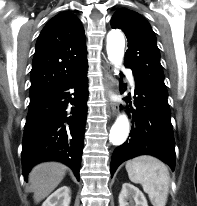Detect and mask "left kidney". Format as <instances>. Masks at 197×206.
<instances>
[{"label": "left kidney", "mask_w": 197, "mask_h": 206, "mask_svg": "<svg viewBox=\"0 0 197 206\" xmlns=\"http://www.w3.org/2000/svg\"><path fill=\"white\" fill-rule=\"evenodd\" d=\"M119 206H148L144 194L134 185L124 183L119 194Z\"/></svg>", "instance_id": "left-kidney-1"}]
</instances>
